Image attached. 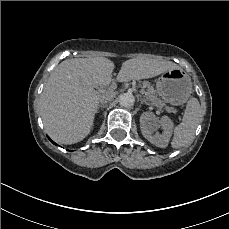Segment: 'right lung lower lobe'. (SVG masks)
<instances>
[{"instance_id": "right-lung-lower-lobe-1", "label": "right lung lower lobe", "mask_w": 229, "mask_h": 229, "mask_svg": "<svg viewBox=\"0 0 229 229\" xmlns=\"http://www.w3.org/2000/svg\"><path fill=\"white\" fill-rule=\"evenodd\" d=\"M48 139L53 143V144H55L56 145V143L54 142V141H52L49 137H48Z\"/></svg>"}]
</instances>
